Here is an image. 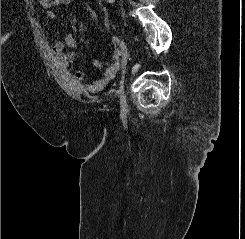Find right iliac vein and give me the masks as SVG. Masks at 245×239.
<instances>
[{"instance_id": "obj_1", "label": "right iliac vein", "mask_w": 245, "mask_h": 239, "mask_svg": "<svg viewBox=\"0 0 245 239\" xmlns=\"http://www.w3.org/2000/svg\"><path fill=\"white\" fill-rule=\"evenodd\" d=\"M121 44L123 45L124 51H123V61H122V76H121L120 88H119V98H120V106L124 110L126 109L127 106L126 96L124 91V80H125L126 64H127V59L129 57V52L123 39H121Z\"/></svg>"}]
</instances>
